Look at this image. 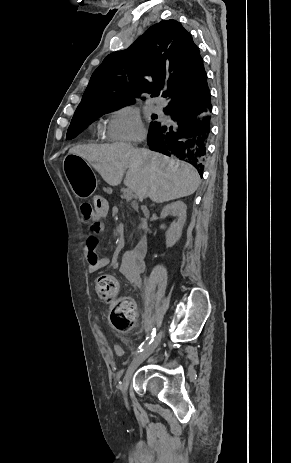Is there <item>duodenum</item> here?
<instances>
[{
  "instance_id": "obj_1",
  "label": "duodenum",
  "mask_w": 291,
  "mask_h": 463,
  "mask_svg": "<svg viewBox=\"0 0 291 463\" xmlns=\"http://www.w3.org/2000/svg\"><path fill=\"white\" fill-rule=\"evenodd\" d=\"M139 209L146 215L148 216V206L145 204V203H142L140 206H139ZM147 250H148V240L147 238H142L140 239L135 248H134V251L139 255V256H142V257H145L146 254H147Z\"/></svg>"
}]
</instances>
